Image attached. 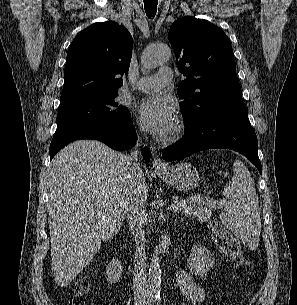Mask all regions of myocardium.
I'll use <instances>...</instances> for the list:
<instances>
[{
  "label": "myocardium",
  "instance_id": "1",
  "mask_svg": "<svg viewBox=\"0 0 297 305\" xmlns=\"http://www.w3.org/2000/svg\"><path fill=\"white\" fill-rule=\"evenodd\" d=\"M183 132V125L181 123H177L171 134L165 139V143H172L178 140Z\"/></svg>",
  "mask_w": 297,
  "mask_h": 305
}]
</instances>
